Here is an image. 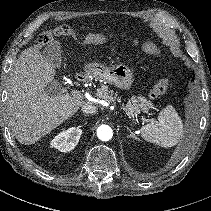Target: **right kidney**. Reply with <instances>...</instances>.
Masks as SVG:
<instances>
[{"instance_id": "obj_1", "label": "right kidney", "mask_w": 211, "mask_h": 211, "mask_svg": "<svg viewBox=\"0 0 211 211\" xmlns=\"http://www.w3.org/2000/svg\"><path fill=\"white\" fill-rule=\"evenodd\" d=\"M82 130L79 128H69L56 135L50 142V146L61 152H68L75 148L81 137Z\"/></svg>"}]
</instances>
